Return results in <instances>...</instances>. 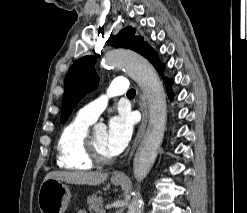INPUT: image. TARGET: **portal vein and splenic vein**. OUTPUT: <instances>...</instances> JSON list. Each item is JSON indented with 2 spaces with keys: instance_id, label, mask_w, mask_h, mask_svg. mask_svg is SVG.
I'll use <instances>...</instances> for the list:
<instances>
[{
  "instance_id": "portal-vein-and-splenic-vein-1",
  "label": "portal vein and splenic vein",
  "mask_w": 247,
  "mask_h": 213,
  "mask_svg": "<svg viewBox=\"0 0 247 213\" xmlns=\"http://www.w3.org/2000/svg\"><path fill=\"white\" fill-rule=\"evenodd\" d=\"M102 213H105V210H102Z\"/></svg>"
}]
</instances>
